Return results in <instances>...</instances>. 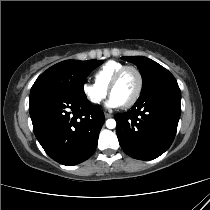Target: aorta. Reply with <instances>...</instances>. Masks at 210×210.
Here are the masks:
<instances>
[{
  "mask_svg": "<svg viewBox=\"0 0 210 210\" xmlns=\"http://www.w3.org/2000/svg\"><path fill=\"white\" fill-rule=\"evenodd\" d=\"M106 127L108 129H114L116 127V121L114 119H108L106 121Z\"/></svg>",
  "mask_w": 210,
  "mask_h": 210,
  "instance_id": "obj_1",
  "label": "aorta"
}]
</instances>
